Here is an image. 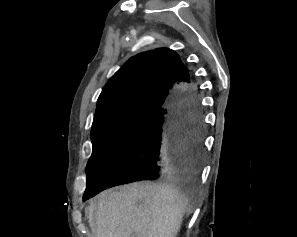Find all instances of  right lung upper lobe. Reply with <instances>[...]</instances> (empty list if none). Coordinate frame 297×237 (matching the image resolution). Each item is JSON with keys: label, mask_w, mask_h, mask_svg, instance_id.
I'll use <instances>...</instances> for the list:
<instances>
[{"label": "right lung upper lobe", "mask_w": 297, "mask_h": 237, "mask_svg": "<svg viewBox=\"0 0 297 237\" xmlns=\"http://www.w3.org/2000/svg\"><path fill=\"white\" fill-rule=\"evenodd\" d=\"M193 78L179 55L158 48L131 57L108 81L97 101L92 127L124 115L153 113Z\"/></svg>", "instance_id": "obj_1"}]
</instances>
